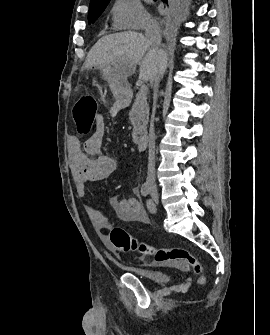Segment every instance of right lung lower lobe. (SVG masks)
<instances>
[{"label":"right lung lower lobe","instance_id":"1","mask_svg":"<svg viewBox=\"0 0 270 335\" xmlns=\"http://www.w3.org/2000/svg\"><path fill=\"white\" fill-rule=\"evenodd\" d=\"M162 1L165 2V3L167 2V0H162Z\"/></svg>","mask_w":270,"mask_h":335}]
</instances>
